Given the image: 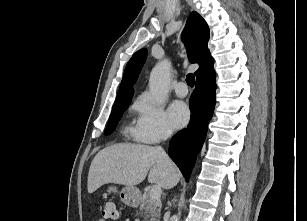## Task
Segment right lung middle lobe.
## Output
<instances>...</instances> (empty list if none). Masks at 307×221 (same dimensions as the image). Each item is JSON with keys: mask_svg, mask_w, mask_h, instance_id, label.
I'll use <instances>...</instances> for the list:
<instances>
[{"mask_svg": "<svg viewBox=\"0 0 307 221\" xmlns=\"http://www.w3.org/2000/svg\"><path fill=\"white\" fill-rule=\"evenodd\" d=\"M131 99L114 103L105 134H110L114 130L123 112L127 109Z\"/></svg>", "mask_w": 307, "mask_h": 221, "instance_id": "1", "label": "right lung middle lobe"}]
</instances>
